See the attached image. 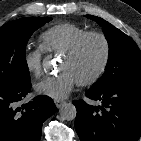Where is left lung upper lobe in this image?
<instances>
[{"instance_id": "obj_1", "label": "left lung upper lobe", "mask_w": 141, "mask_h": 141, "mask_svg": "<svg viewBox=\"0 0 141 141\" xmlns=\"http://www.w3.org/2000/svg\"><path fill=\"white\" fill-rule=\"evenodd\" d=\"M87 17L103 27L109 45L105 72L90 89L100 90L120 83H141V51L136 43L104 19L92 15Z\"/></svg>"}]
</instances>
